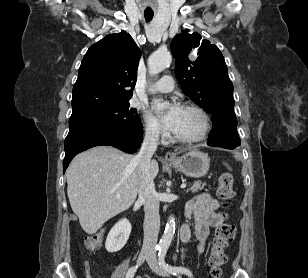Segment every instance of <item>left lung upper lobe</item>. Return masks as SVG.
<instances>
[{
    "mask_svg": "<svg viewBox=\"0 0 308 278\" xmlns=\"http://www.w3.org/2000/svg\"><path fill=\"white\" fill-rule=\"evenodd\" d=\"M176 77L182 91L206 112L234 108L233 84L222 53L198 33H183L171 42Z\"/></svg>",
    "mask_w": 308,
    "mask_h": 278,
    "instance_id": "1",
    "label": "left lung upper lobe"
}]
</instances>
